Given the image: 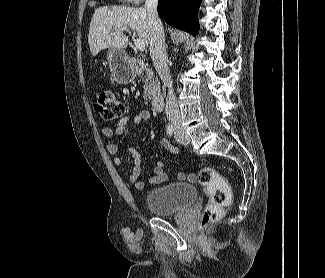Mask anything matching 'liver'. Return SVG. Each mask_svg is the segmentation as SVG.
Here are the masks:
<instances>
[{
	"instance_id": "liver-1",
	"label": "liver",
	"mask_w": 325,
	"mask_h": 278,
	"mask_svg": "<svg viewBox=\"0 0 325 278\" xmlns=\"http://www.w3.org/2000/svg\"><path fill=\"white\" fill-rule=\"evenodd\" d=\"M123 28H131L144 41L150 43V26L147 12L139 7H99L95 10L89 27L88 44L92 55L102 49H124L128 37Z\"/></svg>"
}]
</instances>
